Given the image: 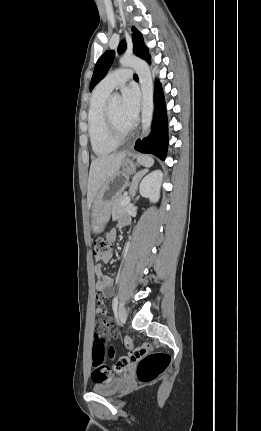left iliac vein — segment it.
<instances>
[{
    "mask_svg": "<svg viewBox=\"0 0 261 431\" xmlns=\"http://www.w3.org/2000/svg\"><path fill=\"white\" fill-rule=\"evenodd\" d=\"M127 315H128V313H127L126 307L123 304H121L119 306L118 316H119V319L122 323L126 321Z\"/></svg>",
    "mask_w": 261,
    "mask_h": 431,
    "instance_id": "left-iliac-vein-1",
    "label": "left iliac vein"
}]
</instances>
